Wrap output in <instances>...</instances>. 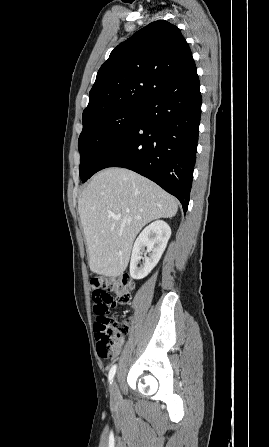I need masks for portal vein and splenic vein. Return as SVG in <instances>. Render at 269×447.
Masks as SVG:
<instances>
[{
	"instance_id": "1",
	"label": "portal vein and splenic vein",
	"mask_w": 269,
	"mask_h": 447,
	"mask_svg": "<svg viewBox=\"0 0 269 447\" xmlns=\"http://www.w3.org/2000/svg\"><path fill=\"white\" fill-rule=\"evenodd\" d=\"M112 218H114V220H119L120 216H112Z\"/></svg>"
}]
</instances>
